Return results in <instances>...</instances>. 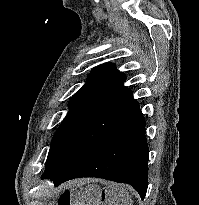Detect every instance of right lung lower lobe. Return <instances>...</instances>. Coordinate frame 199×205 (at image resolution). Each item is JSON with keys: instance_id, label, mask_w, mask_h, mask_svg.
<instances>
[{"instance_id": "right-lung-lower-lobe-1", "label": "right lung lower lobe", "mask_w": 199, "mask_h": 205, "mask_svg": "<svg viewBox=\"0 0 199 205\" xmlns=\"http://www.w3.org/2000/svg\"><path fill=\"white\" fill-rule=\"evenodd\" d=\"M145 125L139 111L59 172L42 178L53 180L55 186L79 177H97L126 183L135 188L143 200L148 187L149 160Z\"/></svg>"}]
</instances>
